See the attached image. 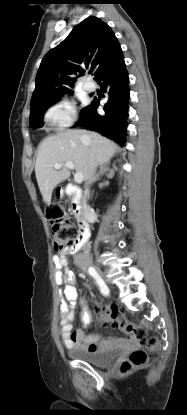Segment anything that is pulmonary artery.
<instances>
[{"mask_svg": "<svg viewBox=\"0 0 187 415\" xmlns=\"http://www.w3.org/2000/svg\"><path fill=\"white\" fill-rule=\"evenodd\" d=\"M83 88L87 92H92L95 90V85L92 82H85Z\"/></svg>", "mask_w": 187, "mask_h": 415, "instance_id": "obj_1", "label": "pulmonary artery"}]
</instances>
